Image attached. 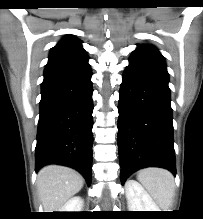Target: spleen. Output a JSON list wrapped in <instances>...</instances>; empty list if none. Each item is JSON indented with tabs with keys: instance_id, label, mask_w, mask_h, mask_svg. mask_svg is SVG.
Returning <instances> with one entry per match:
<instances>
[{
	"instance_id": "3e777b00",
	"label": "spleen",
	"mask_w": 203,
	"mask_h": 219,
	"mask_svg": "<svg viewBox=\"0 0 203 219\" xmlns=\"http://www.w3.org/2000/svg\"><path fill=\"white\" fill-rule=\"evenodd\" d=\"M138 181L145 187L157 205L167 211L174 196V177L164 169L146 168L139 171Z\"/></svg>"
}]
</instances>
